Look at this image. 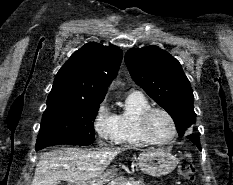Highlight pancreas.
I'll return each instance as SVG.
<instances>
[{
  "instance_id": "cf45deb5",
  "label": "pancreas",
  "mask_w": 233,
  "mask_h": 185,
  "mask_svg": "<svg viewBox=\"0 0 233 185\" xmlns=\"http://www.w3.org/2000/svg\"><path fill=\"white\" fill-rule=\"evenodd\" d=\"M108 185H146V184L142 179L134 181L133 179L118 177V178H114Z\"/></svg>"
}]
</instances>
